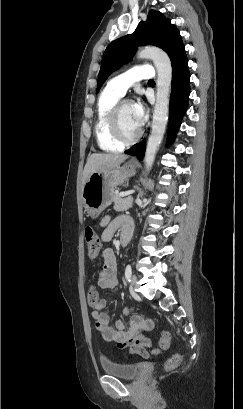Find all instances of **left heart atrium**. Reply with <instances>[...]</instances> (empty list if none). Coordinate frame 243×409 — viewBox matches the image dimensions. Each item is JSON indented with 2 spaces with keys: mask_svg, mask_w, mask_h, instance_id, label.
Returning <instances> with one entry per match:
<instances>
[{
  "mask_svg": "<svg viewBox=\"0 0 243 409\" xmlns=\"http://www.w3.org/2000/svg\"><path fill=\"white\" fill-rule=\"evenodd\" d=\"M132 112L137 125L142 126L147 119V111L142 101H137L132 104Z\"/></svg>",
  "mask_w": 243,
  "mask_h": 409,
  "instance_id": "obj_1",
  "label": "left heart atrium"
}]
</instances>
